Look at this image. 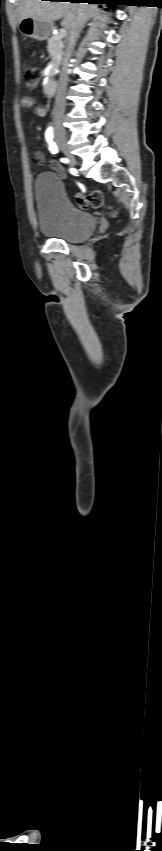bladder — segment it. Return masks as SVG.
<instances>
[{"label": "bladder", "instance_id": "obj_1", "mask_svg": "<svg viewBox=\"0 0 162 851\" xmlns=\"http://www.w3.org/2000/svg\"><path fill=\"white\" fill-rule=\"evenodd\" d=\"M33 191L38 227L44 236L78 243L93 234L96 218L67 198L58 175L52 172L39 174Z\"/></svg>", "mask_w": 162, "mask_h": 851}]
</instances>
